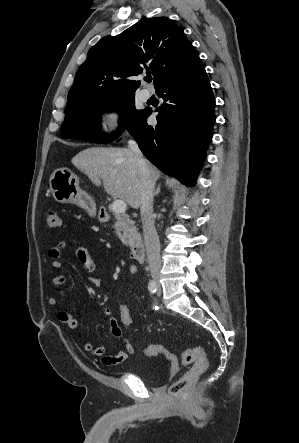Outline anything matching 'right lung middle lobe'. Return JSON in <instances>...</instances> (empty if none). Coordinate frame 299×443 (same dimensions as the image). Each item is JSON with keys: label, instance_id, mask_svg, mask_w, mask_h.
Returning <instances> with one entry per match:
<instances>
[{"label": "right lung middle lobe", "instance_id": "obj_1", "mask_svg": "<svg viewBox=\"0 0 299 443\" xmlns=\"http://www.w3.org/2000/svg\"><path fill=\"white\" fill-rule=\"evenodd\" d=\"M108 110L120 115L119 130L128 127L130 121L141 113L135 109L134 94L75 104L65 109L61 136L102 143L115 140L119 131L110 137L101 133V115Z\"/></svg>", "mask_w": 299, "mask_h": 443}]
</instances>
